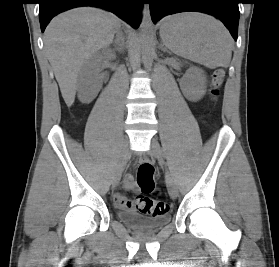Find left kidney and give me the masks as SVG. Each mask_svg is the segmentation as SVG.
I'll list each match as a JSON object with an SVG mask.
<instances>
[{"label": "left kidney", "instance_id": "obj_1", "mask_svg": "<svg viewBox=\"0 0 279 267\" xmlns=\"http://www.w3.org/2000/svg\"><path fill=\"white\" fill-rule=\"evenodd\" d=\"M206 77L200 69L189 70L181 84L185 96L190 101H198L206 92Z\"/></svg>", "mask_w": 279, "mask_h": 267}]
</instances>
